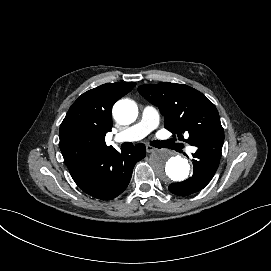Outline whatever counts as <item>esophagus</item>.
Masks as SVG:
<instances>
[{
    "instance_id": "obj_1",
    "label": "esophagus",
    "mask_w": 271,
    "mask_h": 271,
    "mask_svg": "<svg viewBox=\"0 0 271 271\" xmlns=\"http://www.w3.org/2000/svg\"><path fill=\"white\" fill-rule=\"evenodd\" d=\"M156 150H157V148H155L154 146L146 145V151H147L148 153H152V152H154V151H156Z\"/></svg>"
}]
</instances>
